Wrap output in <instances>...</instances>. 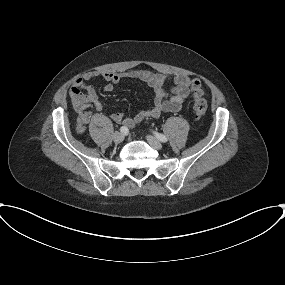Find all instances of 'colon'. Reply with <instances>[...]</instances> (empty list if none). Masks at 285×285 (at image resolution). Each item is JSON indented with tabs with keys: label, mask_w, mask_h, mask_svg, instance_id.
<instances>
[{
	"label": "colon",
	"mask_w": 285,
	"mask_h": 285,
	"mask_svg": "<svg viewBox=\"0 0 285 285\" xmlns=\"http://www.w3.org/2000/svg\"><path fill=\"white\" fill-rule=\"evenodd\" d=\"M194 112L197 120H201L207 111V101L200 89L194 93Z\"/></svg>",
	"instance_id": "colon-1"
}]
</instances>
